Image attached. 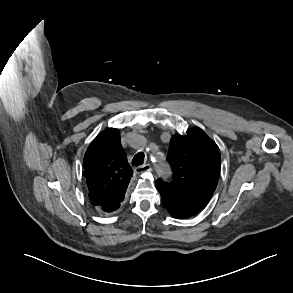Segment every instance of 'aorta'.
Listing matches in <instances>:
<instances>
[{
  "instance_id": "obj_1",
  "label": "aorta",
  "mask_w": 293,
  "mask_h": 293,
  "mask_svg": "<svg viewBox=\"0 0 293 293\" xmlns=\"http://www.w3.org/2000/svg\"><path fill=\"white\" fill-rule=\"evenodd\" d=\"M150 156L156 174L159 177L167 178L170 174V168L165 157L160 153H151Z\"/></svg>"
}]
</instances>
